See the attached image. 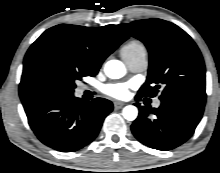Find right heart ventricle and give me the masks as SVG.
I'll return each mask as SVG.
<instances>
[{"mask_svg":"<svg viewBox=\"0 0 220 173\" xmlns=\"http://www.w3.org/2000/svg\"><path fill=\"white\" fill-rule=\"evenodd\" d=\"M144 45L136 40L130 41L126 45H124L121 49L122 57H129L138 53H145Z\"/></svg>","mask_w":220,"mask_h":173,"instance_id":"right-heart-ventricle-1","label":"right heart ventricle"}]
</instances>
